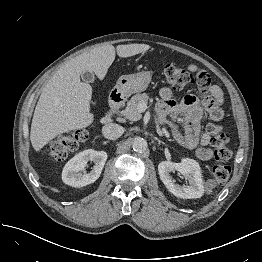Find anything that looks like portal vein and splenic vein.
<instances>
[{"mask_svg":"<svg viewBox=\"0 0 262 262\" xmlns=\"http://www.w3.org/2000/svg\"><path fill=\"white\" fill-rule=\"evenodd\" d=\"M138 109H139L140 112L145 111V110L147 109L146 103H140V104L138 105ZM166 137L169 138V134H166Z\"/></svg>","mask_w":262,"mask_h":262,"instance_id":"obj_1","label":"portal vein and splenic vein"}]
</instances>
